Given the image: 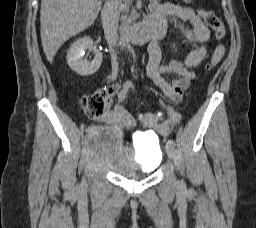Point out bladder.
Listing matches in <instances>:
<instances>
[{"label": "bladder", "instance_id": "bladder-1", "mask_svg": "<svg viewBox=\"0 0 256 228\" xmlns=\"http://www.w3.org/2000/svg\"><path fill=\"white\" fill-rule=\"evenodd\" d=\"M87 147L92 160L127 179L153 172L162 159L157 139H139L136 149H128L123 144L122 134L106 127H96L88 138Z\"/></svg>", "mask_w": 256, "mask_h": 228}]
</instances>
